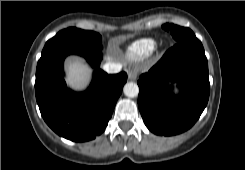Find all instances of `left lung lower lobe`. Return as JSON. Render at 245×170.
<instances>
[{
  "label": "left lung lower lobe",
  "mask_w": 245,
  "mask_h": 170,
  "mask_svg": "<svg viewBox=\"0 0 245 170\" xmlns=\"http://www.w3.org/2000/svg\"><path fill=\"white\" fill-rule=\"evenodd\" d=\"M165 79L177 82L173 95ZM138 107L147 128L171 136L185 132L199 119L210 93L204 48L177 42L162 59L139 77Z\"/></svg>",
  "instance_id": "0a47b994"
}]
</instances>
